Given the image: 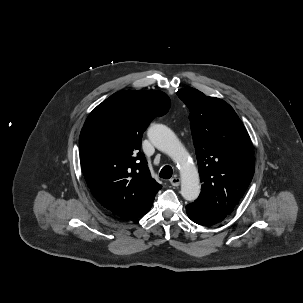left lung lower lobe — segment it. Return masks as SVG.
I'll list each match as a JSON object with an SVG mask.
<instances>
[{"instance_id": "0a47b994", "label": "left lung lower lobe", "mask_w": 303, "mask_h": 303, "mask_svg": "<svg viewBox=\"0 0 303 303\" xmlns=\"http://www.w3.org/2000/svg\"><path fill=\"white\" fill-rule=\"evenodd\" d=\"M188 217L199 225H213L224 220L226 216L205 205L193 202L186 206Z\"/></svg>"}]
</instances>
